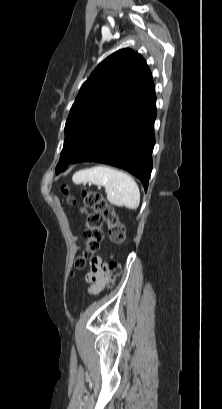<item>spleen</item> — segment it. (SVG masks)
<instances>
[{
	"label": "spleen",
	"instance_id": "obj_1",
	"mask_svg": "<svg viewBox=\"0 0 222 409\" xmlns=\"http://www.w3.org/2000/svg\"><path fill=\"white\" fill-rule=\"evenodd\" d=\"M75 184L91 182L104 186L108 201L119 207L135 210L140 204V191L135 180L128 174L107 166H95L77 171Z\"/></svg>",
	"mask_w": 222,
	"mask_h": 409
}]
</instances>
